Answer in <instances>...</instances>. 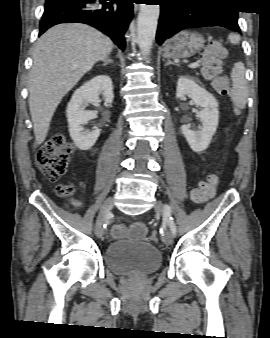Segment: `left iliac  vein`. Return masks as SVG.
<instances>
[{"label": "left iliac vein", "mask_w": 270, "mask_h": 338, "mask_svg": "<svg viewBox=\"0 0 270 338\" xmlns=\"http://www.w3.org/2000/svg\"><path fill=\"white\" fill-rule=\"evenodd\" d=\"M164 204L161 201H157L155 204V211L157 214L161 215L164 213ZM173 233L170 229H168L164 234V243L166 245H172L173 244Z\"/></svg>", "instance_id": "4c4485c4"}]
</instances>
